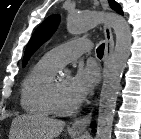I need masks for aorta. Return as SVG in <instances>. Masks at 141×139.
<instances>
[{"mask_svg": "<svg viewBox=\"0 0 141 139\" xmlns=\"http://www.w3.org/2000/svg\"><path fill=\"white\" fill-rule=\"evenodd\" d=\"M100 23H107L113 29L116 43L101 89L95 139H111L121 77L130 56V26L122 16L115 13H69L67 16V30L72 35H80Z\"/></svg>", "mask_w": 141, "mask_h": 139, "instance_id": "1", "label": "aorta"}]
</instances>
